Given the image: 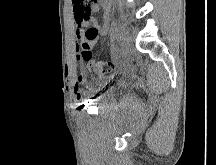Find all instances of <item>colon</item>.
Here are the masks:
<instances>
[{
	"label": "colon",
	"mask_w": 216,
	"mask_h": 165,
	"mask_svg": "<svg viewBox=\"0 0 216 165\" xmlns=\"http://www.w3.org/2000/svg\"><path fill=\"white\" fill-rule=\"evenodd\" d=\"M76 2H86V0H75ZM81 17L89 18L90 13H81ZM98 29L90 27L85 32V40L80 43L78 57L87 62L89 67L99 75H108L115 69L114 64L110 62L94 61L91 54V41L98 36Z\"/></svg>",
	"instance_id": "5ec220e1"
}]
</instances>
